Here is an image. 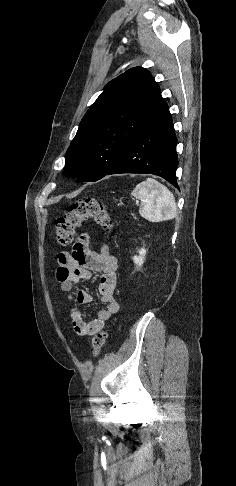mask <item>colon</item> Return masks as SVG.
Returning <instances> with one entry per match:
<instances>
[{"label": "colon", "instance_id": "1", "mask_svg": "<svg viewBox=\"0 0 236 486\" xmlns=\"http://www.w3.org/2000/svg\"><path fill=\"white\" fill-rule=\"evenodd\" d=\"M94 221L104 229L111 226V217L106 206L95 198H87L72 203L68 212L56 222V241L60 246L70 245L76 230L85 222ZM107 334L99 331L92 338V351L98 355L105 342Z\"/></svg>", "mask_w": 236, "mask_h": 486}]
</instances>
